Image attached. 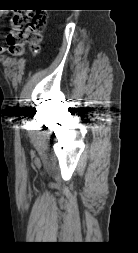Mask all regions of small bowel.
I'll return each mask as SVG.
<instances>
[{
	"label": "small bowel",
	"instance_id": "1",
	"mask_svg": "<svg viewBox=\"0 0 138 253\" xmlns=\"http://www.w3.org/2000/svg\"><path fill=\"white\" fill-rule=\"evenodd\" d=\"M4 51H5V47L0 46V54L4 53Z\"/></svg>",
	"mask_w": 138,
	"mask_h": 253
}]
</instances>
